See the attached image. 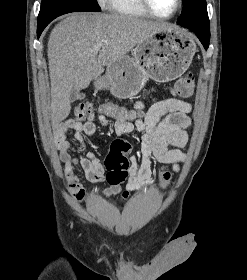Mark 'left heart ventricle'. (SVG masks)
<instances>
[{
    "mask_svg": "<svg viewBox=\"0 0 247 280\" xmlns=\"http://www.w3.org/2000/svg\"><path fill=\"white\" fill-rule=\"evenodd\" d=\"M153 10L162 16L169 15L176 7V0H149Z\"/></svg>",
    "mask_w": 247,
    "mask_h": 280,
    "instance_id": "left-heart-ventricle-1",
    "label": "left heart ventricle"
}]
</instances>
